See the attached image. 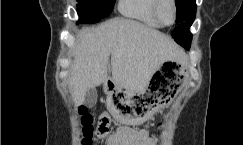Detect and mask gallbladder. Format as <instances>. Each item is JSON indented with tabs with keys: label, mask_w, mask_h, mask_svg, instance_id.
Returning a JSON list of instances; mask_svg holds the SVG:
<instances>
[{
	"label": "gallbladder",
	"mask_w": 243,
	"mask_h": 145,
	"mask_svg": "<svg viewBox=\"0 0 243 145\" xmlns=\"http://www.w3.org/2000/svg\"><path fill=\"white\" fill-rule=\"evenodd\" d=\"M97 101V91L95 88H90L85 95L84 103L88 107H93Z\"/></svg>",
	"instance_id": "1"
}]
</instances>
